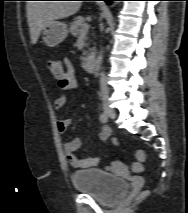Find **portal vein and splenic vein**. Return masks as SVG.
Instances as JSON below:
<instances>
[{
	"mask_svg": "<svg viewBox=\"0 0 188 213\" xmlns=\"http://www.w3.org/2000/svg\"><path fill=\"white\" fill-rule=\"evenodd\" d=\"M89 25L84 24L81 28V33L80 34H85L88 31Z\"/></svg>",
	"mask_w": 188,
	"mask_h": 213,
	"instance_id": "1",
	"label": "portal vein and splenic vein"
}]
</instances>
